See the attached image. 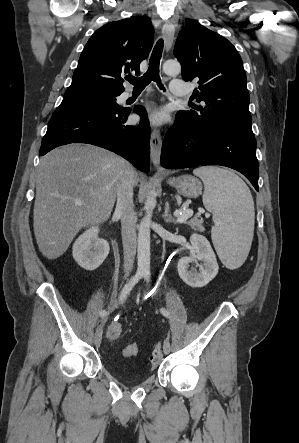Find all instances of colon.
Returning a JSON list of instances; mask_svg holds the SVG:
<instances>
[{"label": "colon", "instance_id": "5ec220e1", "mask_svg": "<svg viewBox=\"0 0 299 443\" xmlns=\"http://www.w3.org/2000/svg\"><path fill=\"white\" fill-rule=\"evenodd\" d=\"M122 332L123 328L121 323L118 321H114L108 326L106 330V337L109 340H117L122 336ZM138 351H139L138 344L135 342L130 343L124 347L123 355L126 357H132L135 356L138 353ZM162 359H163L162 348L160 344H157L151 352L150 361L153 366H157L161 363Z\"/></svg>", "mask_w": 299, "mask_h": 443}]
</instances>
